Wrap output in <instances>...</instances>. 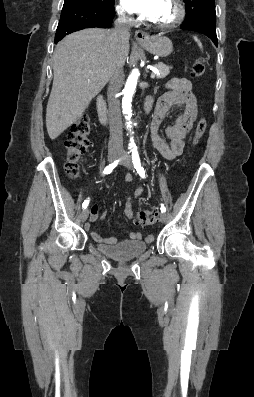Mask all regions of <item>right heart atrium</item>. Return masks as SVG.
<instances>
[{
	"mask_svg": "<svg viewBox=\"0 0 254 397\" xmlns=\"http://www.w3.org/2000/svg\"><path fill=\"white\" fill-rule=\"evenodd\" d=\"M117 12H118L120 19H122L123 21H126V22L132 21V17L127 13V11L123 8V6L119 5L117 7Z\"/></svg>",
	"mask_w": 254,
	"mask_h": 397,
	"instance_id": "obj_1",
	"label": "right heart atrium"
}]
</instances>
